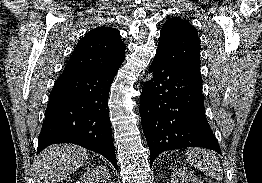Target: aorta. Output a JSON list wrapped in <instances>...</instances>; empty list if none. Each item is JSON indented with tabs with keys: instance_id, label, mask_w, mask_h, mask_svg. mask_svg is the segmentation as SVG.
Masks as SVG:
<instances>
[{
	"instance_id": "1",
	"label": "aorta",
	"mask_w": 262,
	"mask_h": 183,
	"mask_svg": "<svg viewBox=\"0 0 262 183\" xmlns=\"http://www.w3.org/2000/svg\"><path fill=\"white\" fill-rule=\"evenodd\" d=\"M153 77V74L151 73V74H148V75H146V77L144 78V81H149V80H151V78Z\"/></svg>"
}]
</instances>
